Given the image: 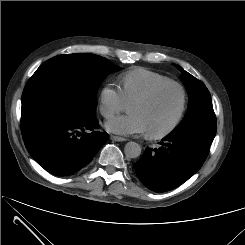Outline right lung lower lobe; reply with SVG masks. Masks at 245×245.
<instances>
[{
    "label": "right lung lower lobe",
    "mask_w": 245,
    "mask_h": 245,
    "mask_svg": "<svg viewBox=\"0 0 245 245\" xmlns=\"http://www.w3.org/2000/svg\"><path fill=\"white\" fill-rule=\"evenodd\" d=\"M95 117L75 119L54 115L21 125L25 146L33 159L48 172L67 176L88 164L108 140L98 132Z\"/></svg>",
    "instance_id": "1"
}]
</instances>
